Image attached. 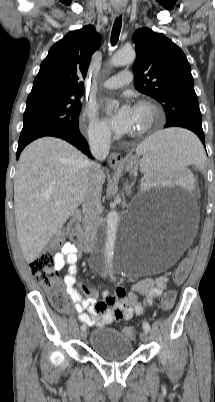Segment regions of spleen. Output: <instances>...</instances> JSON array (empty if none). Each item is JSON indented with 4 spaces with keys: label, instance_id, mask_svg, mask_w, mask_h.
I'll use <instances>...</instances> for the list:
<instances>
[{
    "label": "spleen",
    "instance_id": "obj_1",
    "mask_svg": "<svg viewBox=\"0 0 215 402\" xmlns=\"http://www.w3.org/2000/svg\"><path fill=\"white\" fill-rule=\"evenodd\" d=\"M137 153H143L142 172L146 169H185L191 163L201 165L205 159L200 139L192 128H167L141 143Z\"/></svg>",
    "mask_w": 215,
    "mask_h": 402
}]
</instances>
